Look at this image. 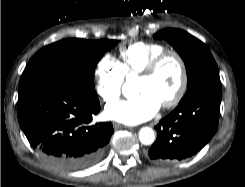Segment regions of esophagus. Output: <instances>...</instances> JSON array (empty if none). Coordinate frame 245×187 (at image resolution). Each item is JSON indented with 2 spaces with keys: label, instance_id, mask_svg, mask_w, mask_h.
I'll return each mask as SVG.
<instances>
[{
  "label": "esophagus",
  "instance_id": "34e87169",
  "mask_svg": "<svg viewBox=\"0 0 245 187\" xmlns=\"http://www.w3.org/2000/svg\"><path fill=\"white\" fill-rule=\"evenodd\" d=\"M113 127H114V129H123V128H129L128 126H126V125H123V124H120V123H114L113 124Z\"/></svg>",
  "mask_w": 245,
  "mask_h": 187
}]
</instances>
